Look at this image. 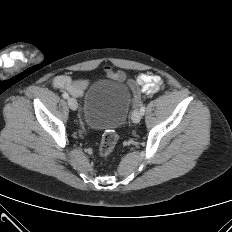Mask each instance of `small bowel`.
Masks as SVG:
<instances>
[{
	"label": "small bowel",
	"mask_w": 232,
	"mask_h": 232,
	"mask_svg": "<svg viewBox=\"0 0 232 232\" xmlns=\"http://www.w3.org/2000/svg\"><path fill=\"white\" fill-rule=\"evenodd\" d=\"M104 74L108 78L128 82L134 96L135 106L139 105L142 95H153L163 87L162 79L155 74L144 73L139 75L136 80H131L123 71L113 70L111 67H105ZM54 86L58 89L67 90L74 96L81 97L88 87V81L60 75L54 79Z\"/></svg>",
	"instance_id": "small-bowel-1"
}]
</instances>
